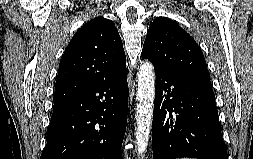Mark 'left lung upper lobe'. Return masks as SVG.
<instances>
[{
  "instance_id": "1",
  "label": "left lung upper lobe",
  "mask_w": 253,
  "mask_h": 159,
  "mask_svg": "<svg viewBox=\"0 0 253 159\" xmlns=\"http://www.w3.org/2000/svg\"><path fill=\"white\" fill-rule=\"evenodd\" d=\"M141 55L152 62L155 71L210 79L206 61L195 40L169 18L157 17L153 21Z\"/></svg>"
}]
</instances>
